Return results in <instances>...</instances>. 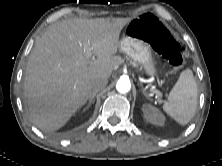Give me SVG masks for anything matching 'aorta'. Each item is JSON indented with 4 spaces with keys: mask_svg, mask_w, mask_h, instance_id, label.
<instances>
[{
    "mask_svg": "<svg viewBox=\"0 0 222 166\" xmlns=\"http://www.w3.org/2000/svg\"><path fill=\"white\" fill-rule=\"evenodd\" d=\"M116 89L119 93L125 94L130 91L131 83L128 79H119L116 84Z\"/></svg>",
    "mask_w": 222,
    "mask_h": 166,
    "instance_id": "obj_1",
    "label": "aorta"
}]
</instances>
